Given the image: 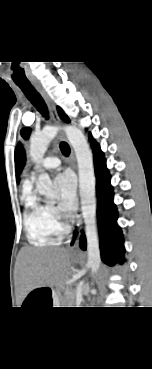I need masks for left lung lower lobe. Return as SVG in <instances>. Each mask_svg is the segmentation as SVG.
Listing matches in <instances>:
<instances>
[{
    "instance_id": "1",
    "label": "left lung lower lobe",
    "mask_w": 152,
    "mask_h": 369,
    "mask_svg": "<svg viewBox=\"0 0 152 369\" xmlns=\"http://www.w3.org/2000/svg\"><path fill=\"white\" fill-rule=\"evenodd\" d=\"M94 153L96 192L98 197V219L100 232L101 259L108 265L123 263L125 252L121 228L117 225V210L113 204V188L106 168V160L98 143L89 135ZM80 248L86 250L84 234L80 238Z\"/></svg>"
}]
</instances>
